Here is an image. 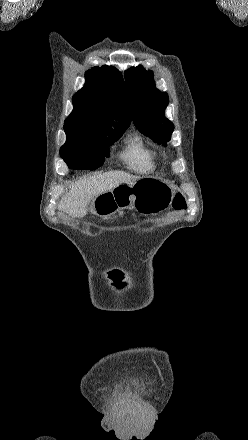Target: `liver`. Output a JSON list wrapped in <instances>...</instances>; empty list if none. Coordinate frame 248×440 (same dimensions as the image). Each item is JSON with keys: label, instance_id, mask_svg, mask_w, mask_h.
<instances>
[{"label": "liver", "instance_id": "1", "mask_svg": "<svg viewBox=\"0 0 248 440\" xmlns=\"http://www.w3.org/2000/svg\"><path fill=\"white\" fill-rule=\"evenodd\" d=\"M140 177L123 171H109L72 184L69 192L62 198L58 209L72 218H81L89 211V205L99 195L120 184H134Z\"/></svg>", "mask_w": 248, "mask_h": 440}]
</instances>
